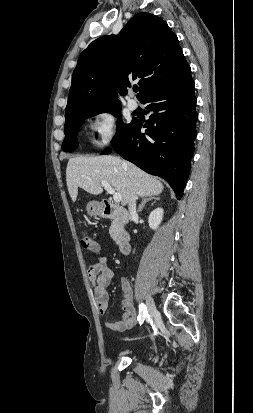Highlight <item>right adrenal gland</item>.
Wrapping results in <instances>:
<instances>
[{"label":"right adrenal gland","instance_id":"1","mask_svg":"<svg viewBox=\"0 0 253 413\" xmlns=\"http://www.w3.org/2000/svg\"><path fill=\"white\" fill-rule=\"evenodd\" d=\"M159 199H160L159 197L143 198L141 204L139 205L138 212L140 213L143 210V208L145 207L147 202H149L151 200L156 201V200H159Z\"/></svg>","mask_w":253,"mask_h":413}]
</instances>
